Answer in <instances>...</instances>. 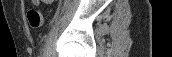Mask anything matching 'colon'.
<instances>
[{"label":"colon","mask_w":172,"mask_h":57,"mask_svg":"<svg viewBox=\"0 0 172 57\" xmlns=\"http://www.w3.org/2000/svg\"><path fill=\"white\" fill-rule=\"evenodd\" d=\"M27 19L32 28H39L43 24V15L37 7L28 10Z\"/></svg>","instance_id":"1"}]
</instances>
